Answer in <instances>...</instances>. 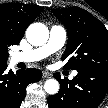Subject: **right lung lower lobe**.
<instances>
[{"label": "right lung lower lobe", "instance_id": "98d812e1", "mask_svg": "<svg viewBox=\"0 0 108 108\" xmlns=\"http://www.w3.org/2000/svg\"><path fill=\"white\" fill-rule=\"evenodd\" d=\"M7 64L0 65V108H19L26 95L28 84L38 82L42 72L28 68L14 73L5 72Z\"/></svg>", "mask_w": 108, "mask_h": 108}]
</instances>
